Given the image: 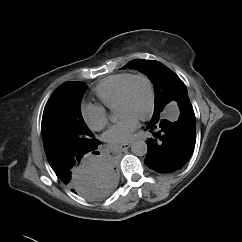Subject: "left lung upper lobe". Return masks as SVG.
<instances>
[{
	"instance_id": "obj_1",
	"label": "left lung upper lobe",
	"mask_w": 242,
	"mask_h": 242,
	"mask_svg": "<svg viewBox=\"0 0 242 242\" xmlns=\"http://www.w3.org/2000/svg\"><path fill=\"white\" fill-rule=\"evenodd\" d=\"M135 68L145 73L154 84L155 111L158 115L171 101L188 97L187 88L183 81L168 67L155 60L135 59L122 68Z\"/></svg>"
}]
</instances>
